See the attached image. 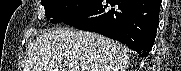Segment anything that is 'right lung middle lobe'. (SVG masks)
I'll return each mask as SVG.
<instances>
[{
    "label": "right lung middle lobe",
    "instance_id": "obj_1",
    "mask_svg": "<svg viewBox=\"0 0 181 71\" xmlns=\"http://www.w3.org/2000/svg\"><path fill=\"white\" fill-rule=\"evenodd\" d=\"M95 0H42L47 19L52 23H61L78 14Z\"/></svg>",
    "mask_w": 181,
    "mask_h": 71
}]
</instances>
